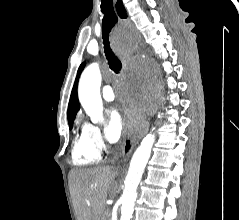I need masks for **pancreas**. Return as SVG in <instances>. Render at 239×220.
<instances>
[{"label": "pancreas", "mask_w": 239, "mask_h": 220, "mask_svg": "<svg viewBox=\"0 0 239 220\" xmlns=\"http://www.w3.org/2000/svg\"><path fill=\"white\" fill-rule=\"evenodd\" d=\"M108 218H109V213H108V211H104V213H103V219H102V220H108Z\"/></svg>", "instance_id": "pancreas-1"}]
</instances>
